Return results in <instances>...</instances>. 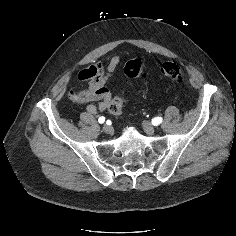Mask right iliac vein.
Listing matches in <instances>:
<instances>
[{
    "instance_id": "right-iliac-vein-1",
    "label": "right iliac vein",
    "mask_w": 236,
    "mask_h": 236,
    "mask_svg": "<svg viewBox=\"0 0 236 236\" xmlns=\"http://www.w3.org/2000/svg\"><path fill=\"white\" fill-rule=\"evenodd\" d=\"M103 131H104L106 134H111V133L113 132V129H112V127L109 126V125H104Z\"/></svg>"
}]
</instances>
